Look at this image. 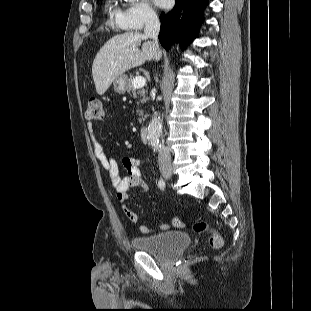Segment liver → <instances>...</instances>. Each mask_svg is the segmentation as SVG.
<instances>
[{"mask_svg": "<svg viewBox=\"0 0 311 311\" xmlns=\"http://www.w3.org/2000/svg\"><path fill=\"white\" fill-rule=\"evenodd\" d=\"M147 39L144 34L131 31L116 35L103 45L92 65L93 80L99 95H103L111 83L129 69L141 66L145 61L160 59L161 51ZM142 41L140 50L138 46Z\"/></svg>", "mask_w": 311, "mask_h": 311, "instance_id": "liver-1", "label": "liver"}]
</instances>
